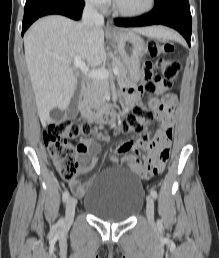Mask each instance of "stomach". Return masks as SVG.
<instances>
[{
	"label": "stomach",
	"mask_w": 219,
	"mask_h": 258,
	"mask_svg": "<svg viewBox=\"0 0 219 258\" xmlns=\"http://www.w3.org/2000/svg\"><path fill=\"white\" fill-rule=\"evenodd\" d=\"M117 42V50L124 61L129 78L136 82L140 79V61L146 53L144 40L134 30H123L112 34Z\"/></svg>",
	"instance_id": "obj_1"
}]
</instances>
